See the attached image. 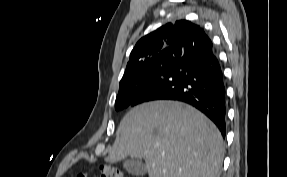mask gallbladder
Instances as JSON below:
<instances>
[{"label": "gallbladder", "mask_w": 287, "mask_h": 177, "mask_svg": "<svg viewBox=\"0 0 287 177\" xmlns=\"http://www.w3.org/2000/svg\"><path fill=\"white\" fill-rule=\"evenodd\" d=\"M123 168L132 175L135 176H144L147 172V169L143 162L140 159L130 158L126 159L123 162Z\"/></svg>", "instance_id": "bac80fb5"}]
</instances>
